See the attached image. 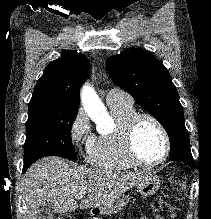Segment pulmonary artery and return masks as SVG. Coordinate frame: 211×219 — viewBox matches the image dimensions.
Masks as SVG:
<instances>
[{
  "label": "pulmonary artery",
  "mask_w": 211,
  "mask_h": 219,
  "mask_svg": "<svg viewBox=\"0 0 211 219\" xmlns=\"http://www.w3.org/2000/svg\"><path fill=\"white\" fill-rule=\"evenodd\" d=\"M107 104L114 103H133L132 98L119 89H111L106 96Z\"/></svg>",
  "instance_id": "pulmonary-artery-1"
}]
</instances>
